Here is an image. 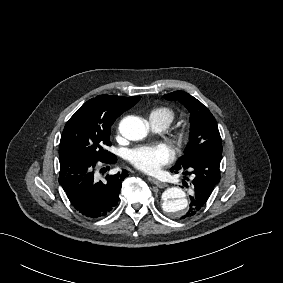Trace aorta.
Returning <instances> with one entry per match:
<instances>
[{
  "mask_svg": "<svg viewBox=\"0 0 283 283\" xmlns=\"http://www.w3.org/2000/svg\"><path fill=\"white\" fill-rule=\"evenodd\" d=\"M121 135L128 140L138 141L147 136L149 123L136 116H127L119 124ZM162 208L172 217L178 218L185 214L188 207L186 193L177 187L168 188L162 195Z\"/></svg>",
  "mask_w": 283,
  "mask_h": 283,
  "instance_id": "762f6f07",
  "label": "aorta"
}]
</instances>
